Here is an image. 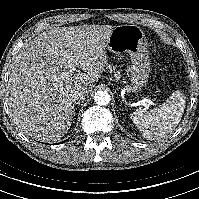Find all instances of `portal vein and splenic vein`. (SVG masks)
<instances>
[{
    "label": "portal vein and splenic vein",
    "instance_id": "obj_1",
    "mask_svg": "<svg viewBox=\"0 0 199 199\" xmlns=\"http://www.w3.org/2000/svg\"><path fill=\"white\" fill-rule=\"evenodd\" d=\"M68 68H69V73H70V74H73L74 71H75V69H76V68H75V65H74L73 62H72V58H70V57H69V59H68ZM145 102H146V103H149V104L151 103L149 99H144V100L142 101V103H143L144 105H145Z\"/></svg>",
    "mask_w": 199,
    "mask_h": 199
}]
</instances>
